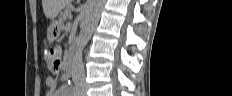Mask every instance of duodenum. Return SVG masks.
Returning a JSON list of instances; mask_svg holds the SVG:
<instances>
[{
    "mask_svg": "<svg viewBox=\"0 0 232 96\" xmlns=\"http://www.w3.org/2000/svg\"><path fill=\"white\" fill-rule=\"evenodd\" d=\"M76 49L71 48L68 53V58L64 66V77L68 78L72 74L73 66H74V59H75Z\"/></svg>",
    "mask_w": 232,
    "mask_h": 96,
    "instance_id": "1",
    "label": "duodenum"
}]
</instances>
